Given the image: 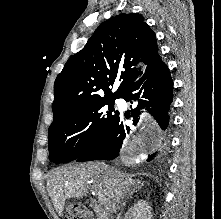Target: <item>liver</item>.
<instances>
[{
    "label": "liver",
    "mask_w": 221,
    "mask_h": 219,
    "mask_svg": "<svg viewBox=\"0 0 221 219\" xmlns=\"http://www.w3.org/2000/svg\"><path fill=\"white\" fill-rule=\"evenodd\" d=\"M140 183L132 175L103 162H89L53 171L47 181V191L60 216L67 199L86 196L89 189H94L108 211L114 213L121 201Z\"/></svg>",
    "instance_id": "liver-1"
}]
</instances>
